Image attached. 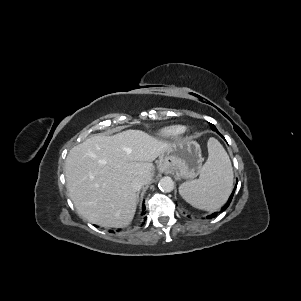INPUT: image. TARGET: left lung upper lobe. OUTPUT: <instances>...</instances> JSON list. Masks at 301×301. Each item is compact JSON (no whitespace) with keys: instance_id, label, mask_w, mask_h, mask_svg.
<instances>
[{"instance_id":"5c2ea615","label":"left lung upper lobe","mask_w":301,"mask_h":301,"mask_svg":"<svg viewBox=\"0 0 301 301\" xmlns=\"http://www.w3.org/2000/svg\"><path fill=\"white\" fill-rule=\"evenodd\" d=\"M209 124H210L212 130H214L216 128L213 124H211V123H209Z\"/></svg>"}]
</instances>
